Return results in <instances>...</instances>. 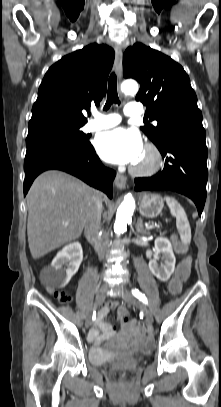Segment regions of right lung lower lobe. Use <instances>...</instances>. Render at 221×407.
<instances>
[{"instance_id": "obj_1", "label": "right lung lower lobe", "mask_w": 221, "mask_h": 407, "mask_svg": "<svg viewBox=\"0 0 221 407\" xmlns=\"http://www.w3.org/2000/svg\"><path fill=\"white\" fill-rule=\"evenodd\" d=\"M24 196L33 180L43 171L58 169L70 173L112 198L116 172L106 168L91 145L82 149L56 138H38L26 142Z\"/></svg>"}]
</instances>
